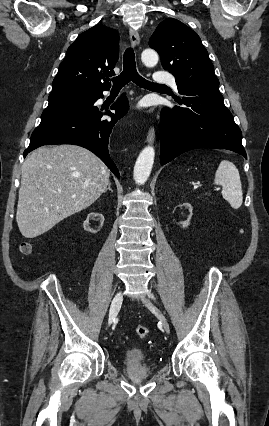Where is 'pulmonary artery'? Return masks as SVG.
I'll use <instances>...</instances> for the list:
<instances>
[{"instance_id": "1", "label": "pulmonary artery", "mask_w": 269, "mask_h": 426, "mask_svg": "<svg viewBox=\"0 0 269 426\" xmlns=\"http://www.w3.org/2000/svg\"><path fill=\"white\" fill-rule=\"evenodd\" d=\"M154 80L162 85H170L174 88L177 87V82H176V78L174 77V75L169 74V73H165L163 71H156L155 75H154Z\"/></svg>"}]
</instances>
